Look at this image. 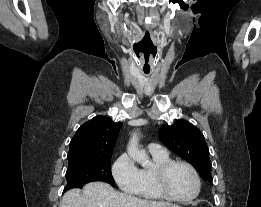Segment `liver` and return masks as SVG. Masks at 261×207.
<instances>
[{
	"instance_id": "6515ba94",
	"label": "liver",
	"mask_w": 261,
	"mask_h": 207,
	"mask_svg": "<svg viewBox=\"0 0 261 207\" xmlns=\"http://www.w3.org/2000/svg\"><path fill=\"white\" fill-rule=\"evenodd\" d=\"M169 203L141 199L115 191L105 182H91L83 191H67L60 207H167Z\"/></svg>"
}]
</instances>
